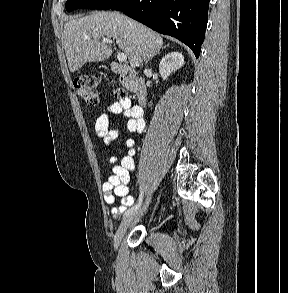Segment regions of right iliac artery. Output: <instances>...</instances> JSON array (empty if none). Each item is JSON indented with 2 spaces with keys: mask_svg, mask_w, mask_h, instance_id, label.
Here are the masks:
<instances>
[{
  "mask_svg": "<svg viewBox=\"0 0 288 293\" xmlns=\"http://www.w3.org/2000/svg\"><path fill=\"white\" fill-rule=\"evenodd\" d=\"M140 195H139V200L137 202L136 205H134L133 207H131L130 209H128L126 212H125V216L129 215V214H132L134 211H136L139 207H140V204L142 202V197H143V191H142V188H140Z\"/></svg>",
  "mask_w": 288,
  "mask_h": 293,
  "instance_id": "obj_1",
  "label": "right iliac artery"
}]
</instances>
